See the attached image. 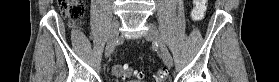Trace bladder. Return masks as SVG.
<instances>
[{
    "label": "bladder",
    "mask_w": 279,
    "mask_h": 82,
    "mask_svg": "<svg viewBox=\"0 0 279 82\" xmlns=\"http://www.w3.org/2000/svg\"><path fill=\"white\" fill-rule=\"evenodd\" d=\"M127 82H139V81H127Z\"/></svg>",
    "instance_id": "31cf9c89"
}]
</instances>
